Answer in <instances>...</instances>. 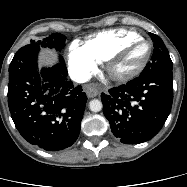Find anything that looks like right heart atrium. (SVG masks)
I'll use <instances>...</instances> for the list:
<instances>
[{"label": "right heart atrium", "mask_w": 187, "mask_h": 187, "mask_svg": "<svg viewBox=\"0 0 187 187\" xmlns=\"http://www.w3.org/2000/svg\"><path fill=\"white\" fill-rule=\"evenodd\" d=\"M68 64L74 77L84 81L97 69L98 62L83 44L79 41H74L68 50Z\"/></svg>", "instance_id": "1"}]
</instances>
